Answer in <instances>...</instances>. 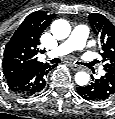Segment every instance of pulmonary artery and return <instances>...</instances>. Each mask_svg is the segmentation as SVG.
Instances as JSON below:
<instances>
[{
    "label": "pulmonary artery",
    "instance_id": "pulmonary-artery-1",
    "mask_svg": "<svg viewBox=\"0 0 115 119\" xmlns=\"http://www.w3.org/2000/svg\"><path fill=\"white\" fill-rule=\"evenodd\" d=\"M88 35L89 28L86 25L76 26L71 35L54 50L53 54L61 56L74 50H79L83 51L84 59L87 61L89 59V50L87 48Z\"/></svg>",
    "mask_w": 115,
    "mask_h": 119
}]
</instances>
